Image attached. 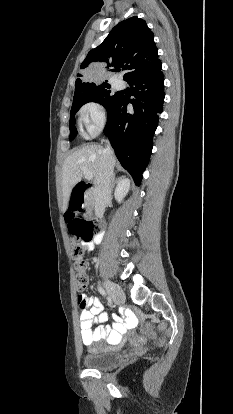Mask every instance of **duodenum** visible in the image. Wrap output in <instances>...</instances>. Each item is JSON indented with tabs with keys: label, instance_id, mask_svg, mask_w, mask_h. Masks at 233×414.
Segmentation results:
<instances>
[{
	"label": "duodenum",
	"instance_id": "obj_1",
	"mask_svg": "<svg viewBox=\"0 0 233 414\" xmlns=\"http://www.w3.org/2000/svg\"><path fill=\"white\" fill-rule=\"evenodd\" d=\"M92 186L90 184L79 182L74 188L72 203L69 205L71 212H81L83 205L87 208L86 214H91L93 210ZM87 220H92V215H87Z\"/></svg>",
	"mask_w": 233,
	"mask_h": 414
}]
</instances>
